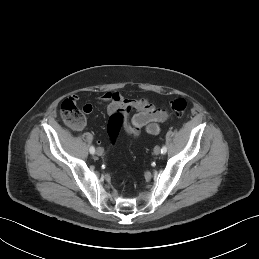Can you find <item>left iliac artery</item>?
I'll return each instance as SVG.
<instances>
[{"instance_id": "1", "label": "left iliac artery", "mask_w": 259, "mask_h": 259, "mask_svg": "<svg viewBox=\"0 0 259 259\" xmlns=\"http://www.w3.org/2000/svg\"><path fill=\"white\" fill-rule=\"evenodd\" d=\"M167 152V148H166V146H163L162 148H161V153L162 154H165Z\"/></svg>"}]
</instances>
